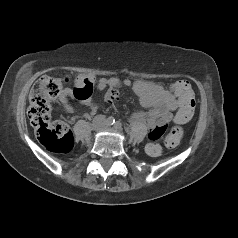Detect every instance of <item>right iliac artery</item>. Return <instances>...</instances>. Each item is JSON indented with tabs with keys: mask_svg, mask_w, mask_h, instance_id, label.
I'll return each instance as SVG.
<instances>
[{
	"mask_svg": "<svg viewBox=\"0 0 238 238\" xmlns=\"http://www.w3.org/2000/svg\"><path fill=\"white\" fill-rule=\"evenodd\" d=\"M106 122L108 125H113L115 123V119L113 117H109Z\"/></svg>",
	"mask_w": 238,
	"mask_h": 238,
	"instance_id": "82829eb1",
	"label": "right iliac artery"
}]
</instances>
